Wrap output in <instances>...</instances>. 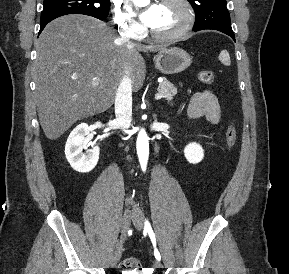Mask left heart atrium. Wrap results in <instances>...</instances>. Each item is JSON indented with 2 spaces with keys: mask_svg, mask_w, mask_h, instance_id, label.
Listing matches in <instances>:
<instances>
[{
  "mask_svg": "<svg viewBox=\"0 0 289 274\" xmlns=\"http://www.w3.org/2000/svg\"><path fill=\"white\" fill-rule=\"evenodd\" d=\"M157 9L158 4L153 3L139 14V18L144 24L151 26L155 20Z\"/></svg>",
  "mask_w": 289,
  "mask_h": 274,
  "instance_id": "1",
  "label": "left heart atrium"
}]
</instances>
